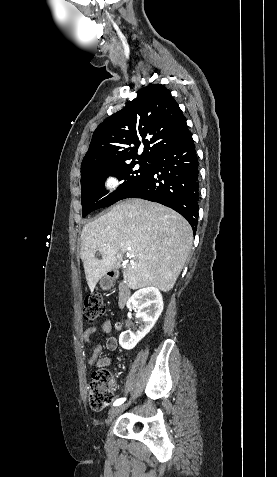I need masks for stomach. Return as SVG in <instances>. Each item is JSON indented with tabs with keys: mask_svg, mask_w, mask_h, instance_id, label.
I'll return each mask as SVG.
<instances>
[{
	"mask_svg": "<svg viewBox=\"0 0 277 477\" xmlns=\"http://www.w3.org/2000/svg\"><path fill=\"white\" fill-rule=\"evenodd\" d=\"M100 285L103 289H109L110 286H111V282L110 280L107 278V277H104L101 281H100Z\"/></svg>",
	"mask_w": 277,
	"mask_h": 477,
	"instance_id": "1",
	"label": "stomach"
}]
</instances>
